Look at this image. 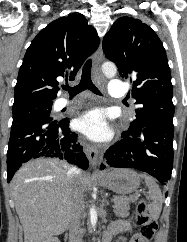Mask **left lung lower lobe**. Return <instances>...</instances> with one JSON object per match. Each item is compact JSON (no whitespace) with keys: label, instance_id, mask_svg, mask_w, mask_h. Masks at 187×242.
I'll list each match as a JSON object with an SVG mask.
<instances>
[{"label":"left lung lower lobe","instance_id":"left-lung-lower-lobe-1","mask_svg":"<svg viewBox=\"0 0 187 242\" xmlns=\"http://www.w3.org/2000/svg\"><path fill=\"white\" fill-rule=\"evenodd\" d=\"M174 129L149 126L122 133V140L111 146L104 154L106 165L133 168L150 174L167 186L173 168ZM166 192V196H167Z\"/></svg>","mask_w":187,"mask_h":242}]
</instances>
